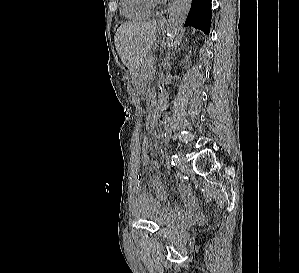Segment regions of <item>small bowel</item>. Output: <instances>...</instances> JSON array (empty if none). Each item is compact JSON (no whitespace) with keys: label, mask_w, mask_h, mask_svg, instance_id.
Returning a JSON list of instances; mask_svg holds the SVG:
<instances>
[{"label":"small bowel","mask_w":299,"mask_h":273,"mask_svg":"<svg viewBox=\"0 0 299 273\" xmlns=\"http://www.w3.org/2000/svg\"><path fill=\"white\" fill-rule=\"evenodd\" d=\"M141 159L144 166H148L149 170H158V165L150 159L149 147L142 148ZM151 185L154 191V197L150 196L143 186H139L135 196L136 211H140L144 208H153L161 216L175 220H190L194 217L191 194L185 185H179L177 188L178 193L184 201L183 206H173L166 202V186L156 174L152 176Z\"/></svg>","instance_id":"obj_1"}]
</instances>
